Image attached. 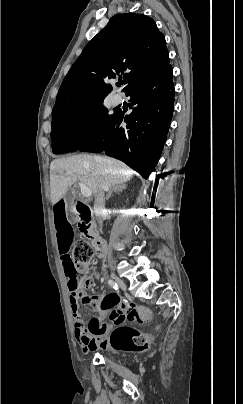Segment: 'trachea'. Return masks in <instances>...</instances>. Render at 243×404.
Returning <instances> with one entry per match:
<instances>
[{"label":"trachea","mask_w":243,"mask_h":404,"mask_svg":"<svg viewBox=\"0 0 243 404\" xmlns=\"http://www.w3.org/2000/svg\"><path fill=\"white\" fill-rule=\"evenodd\" d=\"M123 82H119L117 83V86L120 87L122 85Z\"/></svg>","instance_id":"3493384b"}]
</instances>
